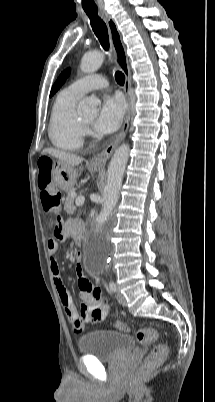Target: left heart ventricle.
<instances>
[{
  "mask_svg": "<svg viewBox=\"0 0 215 402\" xmlns=\"http://www.w3.org/2000/svg\"><path fill=\"white\" fill-rule=\"evenodd\" d=\"M92 120H93L92 117H87V118L83 119V122L86 123V124H89V123L92 122Z\"/></svg>",
  "mask_w": 215,
  "mask_h": 402,
  "instance_id": "left-heart-ventricle-1",
  "label": "left heart ventricle"
}]
</instances>
